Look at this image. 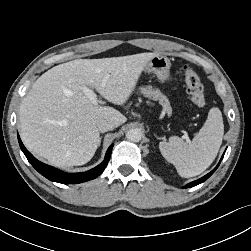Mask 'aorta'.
I'll return each mask as SVG.
<instances>
[{"label":"aorta","instance_id":"1","mask_svg":"<svg viewBox=\"0 0 251 251\" xmlns=\"http://www.w3.org/2000/svg\"><path fill=\"white\" fill-rule=\"evenodd\" d=\"M142 131L138 128H132L126 133V137L131 142H139L142 139Z\"/></svg>","mask_w":251,"mask_h":251}]
</instances>
